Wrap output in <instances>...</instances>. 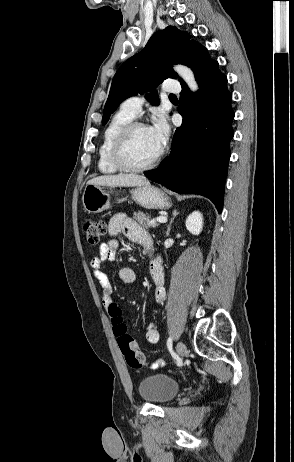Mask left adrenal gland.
I'll list each match as a JSON object with an SVG mask.
<instances>
[{"instance_id": "obj_1", "label": "left adrenal gland", "mask_w": 294, "mask_h": 462, "mask_svg": "<svg viewBox=\"0 0 294 462\" xmlns=\"http://www.w3.org/2000/svg\"><path fill=\"white\" fill-rule=\"evenodd\" d=\"M178 214H179V212H178L177 210H174V211L172 212L173 217H172V219L170 220V223H169V225H168V227H167L166 236L169 235L170 230H171V225H172L174 219L176 218V216H177Z\"/></svg>"}]
</instances>
